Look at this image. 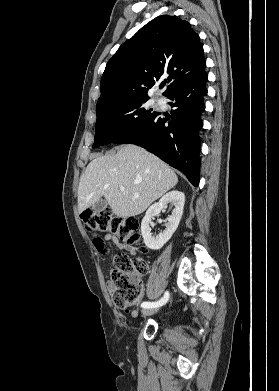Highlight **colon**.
<instances>
[{
    "label": "colon",
    "instance_id": "5ec220e1",
    "mask_svg": "<svg viewBox=\"0 0 279 391\" xmlns=\"http://www.w3.org/2000/svg\"><path fill=\"white\" fill-rule=\"evenodd\" d=\"M81 219L86 230L94 235V246L102 254L107 253V248L105 240L96 235L101 232L109 233L114 240L126 245L141 244L140 224L134 217L117 216L106 209L85 211ZM147 269L146 261L141 258L131 259L122 253L114 257L109 274V291L116 306L129 310L142 299L144 291L140 275Z\"/></svg>",
    "mask_w": 279,
    "mask_h": 391
}]
</instances>
